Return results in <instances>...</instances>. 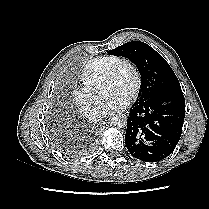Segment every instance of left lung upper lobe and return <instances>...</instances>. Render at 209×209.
I'll return each instance as SVG.
<instances>
[{"mask_svg": "<svg viewBox=\"0 0 209 209\" xmlns=\"http://www.w3.org/2000/svg\"><path fill=\"white\" fill-rule=\"evenodd\" d=\"M107 52L109 55L128 58L137 66L141 74V92L138 102L150 99L160 92L180 87L175 73L166 60L141 41L128 42Z\"/></svg>", "mask_w": 209, "mask_h": 209, "instance_id": "1", "label": "left lung upper lobe"}]
</instances>
